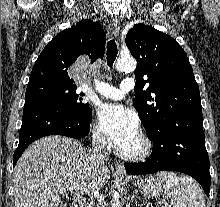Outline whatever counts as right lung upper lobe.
<instances>
[{
    "instance_id": "1",
    "label": "right lung upper lobe",
    "mask_w": 220,
    "mask_h": 207,
    "mask_svg": "<svg viewBox=\"0 0 220 207\" xmlns=\"http://www.w3.org/2000/svg\"><path fill=\"white\" fill-rule=\"evenodd\" d=\"M106 34L98 22L88 19L65 29L43 49L31 71L29 83L54 81L74 85L68 69L78 57L84 56L93 63L105 52Z\"/></svg>"
}]
</instances>
